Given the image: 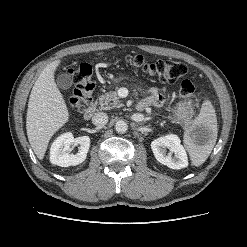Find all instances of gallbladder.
I'll list each match as a JSON object with an SVG mask.
<instances>
[{"label":"gallbladder","mask_w":247,"mask_h":247,"mask_svg":"<svg viewBox=\"0 0 247 247\" xmlns=\"http://www.w3.org/2000/svg\"><path fill=\"white\" fill-rule=\"evenodd\" d=\"M56 82H57L58 87L63 90L69 89L73 84V80L71 76L67 73L60 74L57 77Z\"/></svg>","instance_id":"bac80fb5"}]
</instances>
